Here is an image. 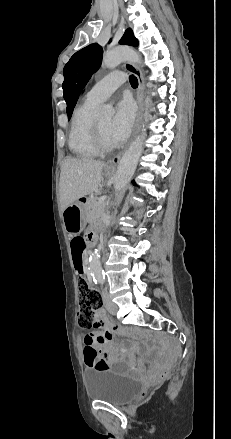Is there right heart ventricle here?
I'll list each match as a JSON object with an SVG mask.
<instances>
[{
  "mask_svg": "<svg viewBox=\"0 0 231 439\" xmlns=\"http://www.w3.org/2000/svg\"><path fill=\"white\" fill-rule=\"evenodd\" d=\"M98 103L85 99L72 115L68 136L70 151L80 159H92L99 152L93 142V112Z\"/></svg>",
  "mask_w": 231,
  "mask_h": 439,
  "instance_id": "right-heart-ventricle-1",
  "label": "right heart ventricle"
}]
</instances>
